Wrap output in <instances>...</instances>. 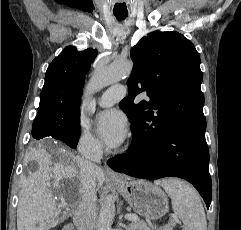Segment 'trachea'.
I'll return each mask as SVG.
<instances>
[{
	"instance_id": "3493384b",
	"label": "trachea",
	"mask_w": 241,
	"mask_h": 230,
	"mask_svg": "<svg viewBox=\"0 0 241 230\" xmlns=\"http://www.w3.org/2000/svg\"><path fill=\"white\" fill-rule=\"evenodd\" d=\"M114 15L118 20H124L128 16L127 13H114Z\"/></svg>"
}]
</instances>
